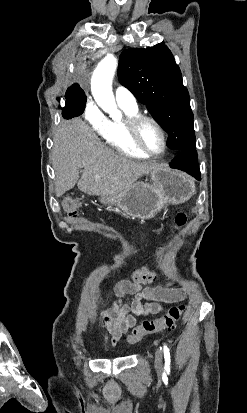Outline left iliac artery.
I'll list each match as a JSON object with an SVG mask.
<instances>
[{
	"label": "left iliac artery",
	"instance_id": "obj_1",
	"mask_svg": "<svg viewBox=\"0 0 247 413\" xmlns=\"http://www.w3.org/2000/svg\"><path fill=\"white\" fill-rule=\"evenodd\" d=\"M163 352L165 359V369H170V352L169 348L166 345L163 346Z\"/></svg>",
	"mask_w": 247,
	"mask_h": 413
}]
</instances>
